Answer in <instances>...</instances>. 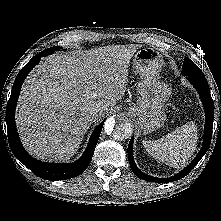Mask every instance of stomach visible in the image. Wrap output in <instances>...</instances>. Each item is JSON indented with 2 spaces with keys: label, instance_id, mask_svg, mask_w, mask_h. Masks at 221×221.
<instances>
[{
  "label": "stomach",
  "instance_id": "obj_1",
  "mask_svg": "<svg viewBox=\"0 0 221 221\" xmlns=\"http://www.w3.org/2000/svg\"><path fill=\"white\" fill-rule=\"evenodd\" d=\"M162 66L161 54L150 47L138 50L133 59V69L139 73L141 80L137 86L139 99L129 107V113L143 134L160 128L166 120L165 103L171 89L160 81Z\"/></svg>",
  "mask_w": 221,
  "mask_h": 221
}]
</instances>
